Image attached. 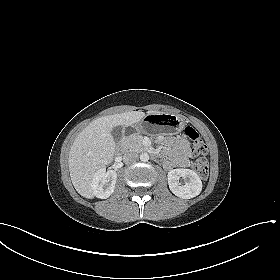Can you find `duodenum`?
<instances>
[{"mask_svg":"<svg viewBox=\"0 0 280 280\" xmlns=\"http://www.w3.org/2000/svg\"><path fill=\"white\" fill-rule=\"evenodd\" d=\"M119 150L122 151V150H123V147H122V146L119 147ZM151 154H152L153 156H155V157L158 156L156 153H153V152H151Z\"/></svg>","mask_w":280,"mask_h":280,"instance_id":"1","label":"duodenum"}]
</instances>
